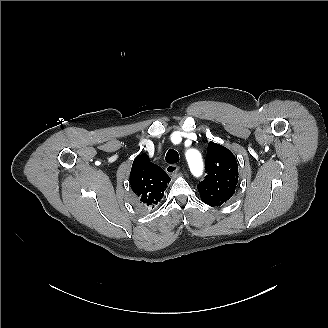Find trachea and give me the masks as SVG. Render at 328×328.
<instances>
[{
	"instance_id": "trachea-1",
	"label": "trachea",
	"mask_w": 328,
	"mask_h": 328,
	"mask_svg": "<svg viewBox=\"0 0 328 328\" xmlns=\"http://www.w3.org/2000/svg\"><path fill=\"white\" fill-rule=\"evenodd\" d=\"M165 160L169 164H176L179 162V154L176 150L174 149H169L168 152L166 153Z\"/></svg>"
}]
</instances>
